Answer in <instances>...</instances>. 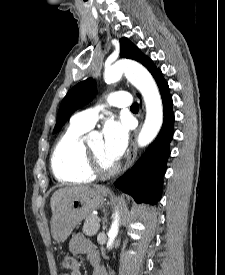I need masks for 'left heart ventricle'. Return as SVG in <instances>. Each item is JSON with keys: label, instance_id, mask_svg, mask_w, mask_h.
I'll return each mask as SVG.
<instances>
[{"label": "left heart ventricle", "instance_id": "1", "mask_svg": "<svg viewBox=\"0 0 225 275\" xmlns=\"http://www.w3.org/2000/svg\"><path fill=\"white\" fill-rule=\"evenodd\" d=\"M88 147L96 155V157L103 166L110 167L113 164H115V162L111 161L106 157L104 151V142L102 138L93 141Z\"/></svg>", "mask_w": 225, "mask_h": 275}]
</instances>
